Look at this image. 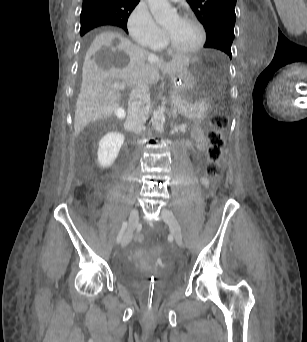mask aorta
<instances>
[{"label": "aorta", "mask_w": 307, "mask_h": 342, "mask_svg": "<svg viewBox=\"0 0 307 342\" xmlns=\"http://www.w3.org/2000/svg\"><path fill=\"white\" fill-rule=\"evenodd\" d=\"M150 12L160 26H168L179 20L177 10L172 8L168 0H147ZM155 130L162 132L165 124V108L160 106L156 112H153L151 120Z\"/></svg>", "instance_id": "1"}]
</instances>
